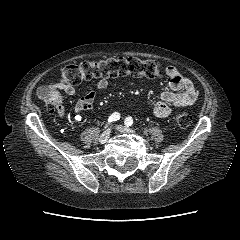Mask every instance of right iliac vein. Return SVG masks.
<instances>
[{
	"label": "right iliac vein",
	"mask_w": 240,
	"mask_h": 240,
	"mask_svg": "<svg viewBox=\"0 0 240 240\" xmlns=\"http://www.w3.org/2000/svg\"><path fill=\"white\" fill-rule=\"evenodd\" d=\"M110 133H111V129L105 130V131L101 134V136H100V138H99V142H100L101 144H104L105 142H107V140L109 139Z\"/></svg>",
	"instance_id": "1"
}]
</instances>
